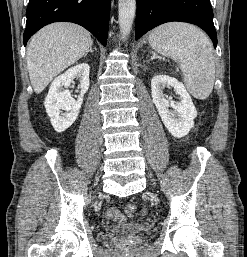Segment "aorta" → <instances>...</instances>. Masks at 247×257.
<instances>
[{
  "instance_id": "obj_1",
  "label": "aorta",
  "mask_w": 247,
  "mask_h": 257,
  "mask_svg": "<svg viewBox=\"0 0 247 257\" xmlns=\"http://www.w3.org/2000/svg\"><path fill=\"white\" fill-rule=\"evenodd\" d=\"M135 12L136 0H118V22L123 40H126L130 34Z\"/></svg>"
}]
</instances>
